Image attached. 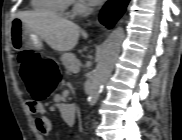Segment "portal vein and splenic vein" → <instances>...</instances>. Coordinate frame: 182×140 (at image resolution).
<instances>
[{
  "label": "portal vein and splenic vein",
  "mask_w": 182,
  "mask_h": 140,
  "mask_svg": "<svg viewBox=\"0 0 182 140\" xmlns=\"http://www.w3.org/2000/svg\"><path fill=\"white\" fill-rule=\"evenodd\" d=\"M79 69H80V68L77 67V68L74 70V72L77 73V72L79 71Z\"/></svg>",
  "instance_id": "portal-vein-and-splenic-vein-1"
}]
</instances>
